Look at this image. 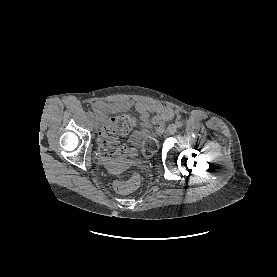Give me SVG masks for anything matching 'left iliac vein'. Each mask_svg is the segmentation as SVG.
Listing matches in <instances>:
<instances>
[{
	"label": "left iliac vein",
	"instance_id": "obj_1",
	"mask_svg": "<svg viewBox=\"0 0 277 277\" xmlns=\"http://www.w3.org/2000/svg\"><path fill=\"white\" fill-rule=\"evenodd\" d=\"M169 134H174L177 131L176 124H170L167 128Z\"/></svg>",
	"mask_w": 277,
	"mask_h": 277
}]
</instances>
